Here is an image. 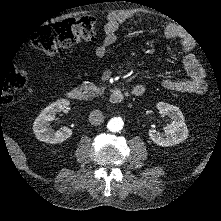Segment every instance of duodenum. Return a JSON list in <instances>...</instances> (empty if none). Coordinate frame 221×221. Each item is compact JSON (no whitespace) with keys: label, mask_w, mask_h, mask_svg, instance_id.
Masks as SVG:
<instances>
[{"label":"duodenum","mask_w":221,"mask_h":221,"mask_svg":"<svg viewBox=\"0 0 221 221\" xmlns=\"http://www.w3.org/2000/svg\"><path fill=\"white\" fill-rule=\"evenodd\" d=\"M145 89L143 86L138 85L134 87L131 91L123 92L119 89H114L110 93V102L113 104L122 103L125 98L129 96H141ZM82 91L79 88H71L66 92V97L72 101H79L82 99Z\"/></svg>","instance_id":"obj_1"}]
</instances>
